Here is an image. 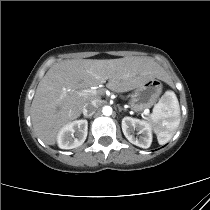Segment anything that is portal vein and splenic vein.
<instances>
[{
    "label": "portal vein and splenic vein",
    "instance_id": "1",
    "mask_svg": "<svg viewBox=\"0 0 210 210\" xmlns=\"http://www.w3.org/2000/svg\"><path fill=\"white\" fill-rule=\"evenodd\" d=\"M92 90H85L84 93H90Z\"/></svg>",
    "mask_w": 210,
    "mask_h": 210
}]
</instances>
